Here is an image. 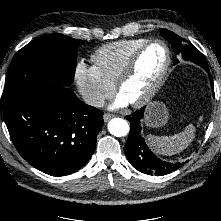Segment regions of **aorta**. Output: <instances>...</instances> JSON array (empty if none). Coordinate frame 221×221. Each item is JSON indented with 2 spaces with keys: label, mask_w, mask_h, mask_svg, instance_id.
I'll return each mask as SVG.
<instances>
[{
  "label": "aorta",
  "mask_w": 221,
  "mask_h": 221,
  "mask_svg": "<svg viewBox=\"0 0 221 221\" xmlns=\"http://www.w3.org/2000/svg\"><path fill=\"white\" fill-rule=\"evenodd\" d=\"M108 131L116 137L126 136L129 132V124L122 118H113L108 123Z\"/></svg>",
  "instance_id": "762f6f07"
}]
</instances>
